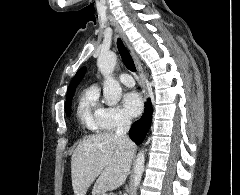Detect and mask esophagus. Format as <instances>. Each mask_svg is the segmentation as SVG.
<instances>
[{"label":"esophagus","instance_id":"34e87169","mask_svg":"<svg viewBox=\"0 0 240 195\" xmlns=\"http://www.w3.org/2000/svg\"><path fill=\"white\" fill-rule=\"evenodd\" d=\"M114 26H115L116 31L122 36L123 40L125 41V43L127 44L128 48L130 49L132 57H133V60H134L136 66H137V69L139 71L140 78H141V80H144L143 73H142V68H141V64H140L138 56L136 55V53L133 50V48L130 46V44L128 42V39L126 38V36H125L124 32L122 31V29L118 25H114Z\"/></svg>","mask_w":240,"mask_h":195}]
</instances>
